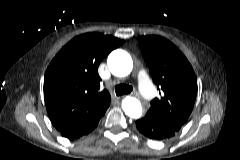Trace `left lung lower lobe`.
Wrapping results in <instances>:
<instances>
[{
    "label": "left lung lower lobe",
    "mask_w": 240,
    "mask_h": 160,
    "mask_svg": "<svg viewBox=\"0 0 240 160\" xmlns=\"http://www.w3.org/2000/svg\"><path fill=\"white\" fill-rule=\"evenodd\" d=\"M136 126L141 134L153 140H166L176 134V131L160 123L149 111L136 121Z\"/></svg>",
    "instance_id": "obj_1"
}]
</instances>
